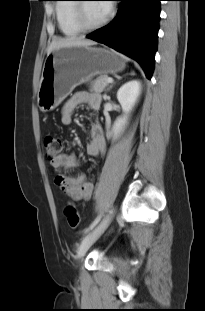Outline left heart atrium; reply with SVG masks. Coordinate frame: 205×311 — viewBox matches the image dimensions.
I'll use <instances>...</instances> for the list:
<instances>
[{
    "label": "left heart atrium",
    "instance_id": "1",
    "mask_svg": "<svg viewBox=\"0 0 205 311\" xmlns=\"http://www.w3.org/2000/svg\"><path fill=\"white\" fill-rule=\"evenodd\" d=\"M103 2H105L104 4H103V6H104V8H105V11L108 13V12H110V10H111V1H103Z\"/></svg>",
    "mask_w": 205,
    "mask_h": 311
}]
</instances>
